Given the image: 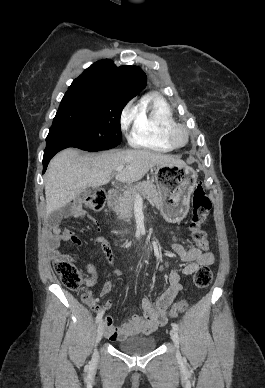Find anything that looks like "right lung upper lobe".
<instances>
[{"label": "right lung upper lobe", "instance_id": "1", "mask_svg": "<svg viewBox=\"0 0 265 388\" xmlns=\"http://www.w3.org/2000/svg\"><path fill=\"white\" fill-rule=\"evenodd\" d=\"M147 83L145 73L136 66L116 67L111 60L92 64L76 78L67 93H105L136 96Z\"/></svg>", "mask_w": 265, "mask_h": 388}]
</instances>
